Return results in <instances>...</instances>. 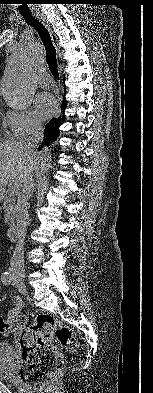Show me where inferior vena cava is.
Segmentation results:
<instances>
[{
    "label": "inferior vena cava",
    "instance_id": "602c4592",
    "mask_svg": "<svg viewBox=\"0 0 153 393\" xmlns=\"http://www.w3.org/2000/svg\"><path fill=\"white\" fill-rule=\"evenodd\" d=\"M44 135L41 124L32 122L26 135L24 145L26 149L33 154H36L35 149L43 141ZM35 190V180L33 173L23 183L22 190L18 195L17 204L15 207L18 241L10 260L9 271L13 275H24V240L27 233V226L29 221L28 205Z\"/></svg>",
    "mask_w": 153,
    "mask_h": 393
}]
</instances>
